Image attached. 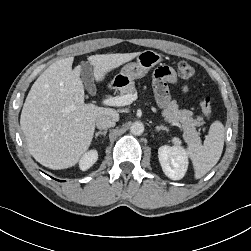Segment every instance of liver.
I'll use <instances>...</instances> for the list:
<instances>
[{
	"label": "liver",
	"instance_id": "6515ba94",
	"mask_svg": "<svg viewBox=\"0 0 251 251\" xmlns=\"http://www.w3.org/2000/svg\"><path fill=\"white\" fill-rule=\"evenodd\" d=\"M140 52L101 54L88 57L97 82ZM74 58L51 64L32 85L20 117V126L30 154L54 170L74 166L91 145L96 118L108 114L118 119L114 109L84 104L80 67L72 70Z\"/></svg>",
	"mask_w": 251,
	"mask_h": 251
}]
</instances>
